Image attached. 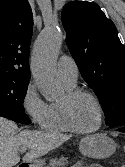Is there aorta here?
Returning a JSON list of instances; mask_svg holds the SVG:
<instances>
[{
	"label": "aorta",
	"instance_id": "obj_1",
	"mask_svg": "<svg viewBox=\"0 0 125 167\" xmlns=\"http://www.w3.org/2000/svg\"><path fill=\"white\" fill-rule=\"evenodd\" d=\"M62 41L63 33L59 28H48L39 35L33 50L32 75L39 91L48 101L59 97L55 62Z\"/></svg>",
	"mask_w": 125,
	"mask_h": 167
}]
</instances>
